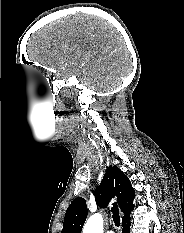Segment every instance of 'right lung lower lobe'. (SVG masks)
<instances>
[{"label": "right lung lower lobe", "mask_w": 184, "mask_h": 233, "mask_svg": "<svg viewBox=\"0 0 184 233\" xmlns=\"http://www.w3.org/2000/svg\"><path fill=\"white\" fill-rule=\"evenodd\" d=\"M122 226H123V229H122V233H129L130 231V218H128L127 220H124L122 222Z\"/></svg>", "instance_id": "1"}]
</instances>
